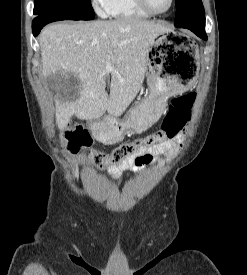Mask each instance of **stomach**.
Returning <instances> with one entry per match:
<instances>
[{
    "label": "stomach",
    "mask_w": 247,
    "mask_h": 275,
    "mask_svg": "<svg viewBox=\"0 0 247 275\" xmlns=\"http://www.w3.org/2000/svg\"><path fill=\"white\" fill-rule=\"evenodd\" d=\"M149 94L138 101L122 121L105 119L90 124L96 139L114 144L125 131L143 132L163 114L170 96L183 93L197 81L199 54L194 42L174 31L157 36L147 51Z\"/></svg>",
    "instance_id": "1"
}]
</instances>
